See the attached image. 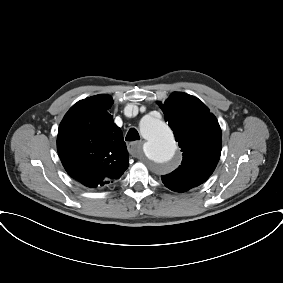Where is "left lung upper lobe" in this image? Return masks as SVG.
<instances>
[{"instance_id":"5c2ea615","label":"left lung upper lobe","mask_w":283,"mask_h":283,"mask_svg":"<svg viewBox=\"0 0 283 283\" xmlns=\"http://www.w3.org/2000/svg\"><path fill=\"white\" fill-rule=\"evenodd\" d=\"M159 104L183 152L181 165L162 176V181L173 191L185 192L214 171L221 154V129L216 117L194 96L174 92Z\"/></svg>"}]
</instances>
